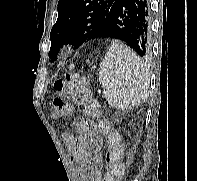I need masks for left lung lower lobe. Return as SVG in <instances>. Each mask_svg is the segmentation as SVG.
Returning <instances> with one entry per match:
<instances>
[{
    "instance_id": "left-lung-lower-lobe-1",
    "label": "left lung lower lobe",
    "mask_w": 197,
    "mask_h": 181,
    "mask_svg": "<svg viewBox=\"0 0 197 181\" xmlns=\"http://www.w3.org/2000/svg\"><path fill=\"white\" fill-rule=\"evenodd\" d=\"M150 31L149 0H115L97 38L121 40L143 57L150 53Z\"/></svg>"
}]
</instances>
